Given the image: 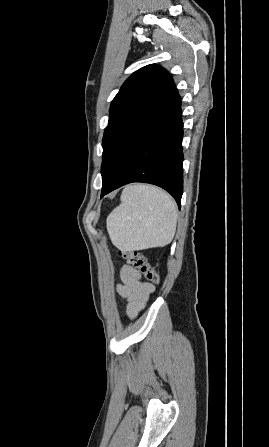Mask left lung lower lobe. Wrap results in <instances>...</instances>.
I'll return each mask as SVG.
<instances>
[{"label":"left lung lower lobe","mask_w":269,"mask_h":447,"mask_svg":"<svg viewBox=\"0 0 269 447\" xmlns=\"http://www.w3.org/2000/svg\"><path fill=\"white\" fill-rule=\"evenodd\" d=\"M183 123L175 91L165 115L144 135L114 180L102 186L101 198L131 182L157 185L169 192L179 208L183 193Z\"/></svg>","instance_id":"1"}]
</instances>
